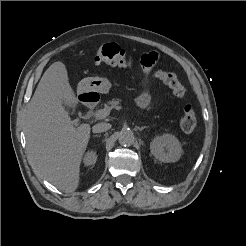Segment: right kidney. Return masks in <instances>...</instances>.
Returning a JSON list of instances; mask_svg holds the SVG:
<instances>
[{
  "label": "right kidney",
  "instance_id": "ca27d5eb",
  "mask_svg": "<svg viewBox=\"0 0 246 246\" xmlns=\"http://www.w3.org/2000/svg\"><path fill=\"white\" fill-rule=\"evenodd\" d=\"M97 160V155L96 152L93 150H90L86 153L83 162L85 166H91L94 165L96 163Z\"/></svg>",
  "mask_w": 246,
  "mask_h": 246
}]
</instances>
